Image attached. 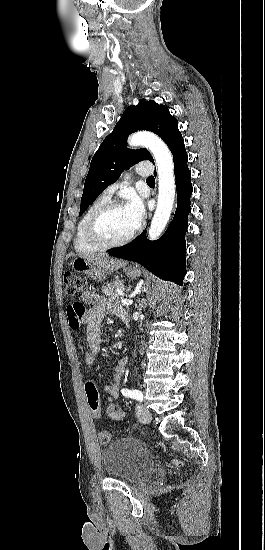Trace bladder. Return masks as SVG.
<instances>
[{"label": "bladder", "mask_w": 265, "mask_h": 550, "mask_svg": "<svg viewBox=\"0 0 265 550\" xmlns=\"http://www.w3.org/2000/svg\"><path fill=\"white\" fill-rule=\"evenodd\" d=\"M107 475L126 482L145 480L153 471V453L133 438H121L107 445L101 454Z\"/></svg>", "instance_id": "bladder-1"}]
</instances>
